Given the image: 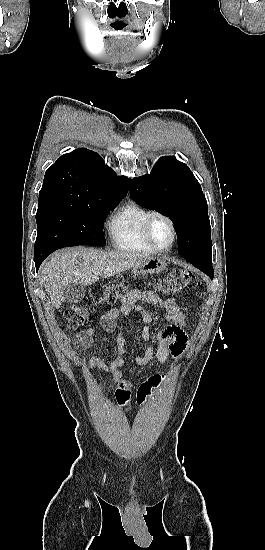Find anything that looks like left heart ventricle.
<instances>
[{"instance_id": "1", "label": "left heart ventricle", "mask_w": 265, "mask_h": 550, "mask_svg": "<svg viewBox=\"0 0 265 550\" xmlns=\"http://www.w3.org/2000/svg\"><path fill=\"white\" fill-rule=\"evenodd\" d=\"M151 234L156 244L160 247L168 246L172 239V233L168 223L160 218L153 221Z\"/></svg>"}]
</instances>
